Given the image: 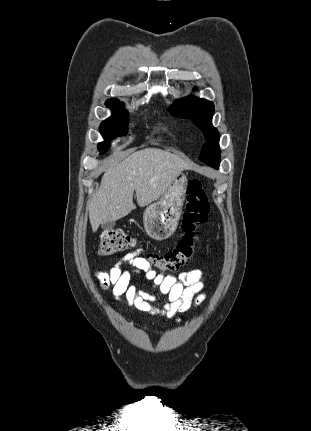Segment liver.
Listing matches in <instances>:
<instances>
[{"label":"liver","mask_w":311,"mask_h":431,"mask_svg":"<svg viewBox=\"0 0 311 431\" xmlns=\"http://www.w3.org/2000/svg\"><path fill=\"white\" fill-rule=\"evenodd\" d=\"M183 170L191 168L180 156L157 148L139 150L117 166H110L89 204L92 231L100 223L116 221L136 210L134 192L140 208L159 200Z\"/></svg>","instance_id":"1"}]
</instances>
